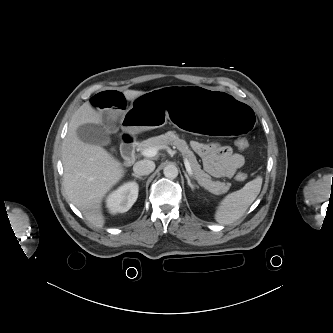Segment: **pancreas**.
<instances>
[{
  "mask_svg": "<svg viewBox=\"0 0 333 333\" xmlns=\"http://www.w3.org/2000/svg\"><path fill=\"white\" fill-rule=\"evenodd\" d=\"M167 145H171L174 148L178 149L182 153V155L189 160L193 175L202 187L215 195L226 193L229 190L231 186L230 183L211 180L210 175H208L201 169V166L197 162L193 151H191V149L188 147L186 141L180 139L174 131H168L165 134L151 137L147 140L142 141L138 145V150L143 152L146 148L149 147H158L159 149H161Z\"/></svg>",
  "mask_w": 333,
  "mask_h": 333,
  "instance_id": "obj_1",
  "label": "pancreas"
}]
</instances>
